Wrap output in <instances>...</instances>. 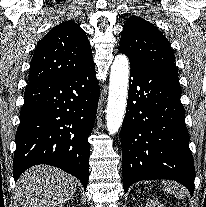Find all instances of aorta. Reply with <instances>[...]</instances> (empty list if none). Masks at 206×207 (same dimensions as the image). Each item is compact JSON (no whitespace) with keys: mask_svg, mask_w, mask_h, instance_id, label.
<instances>
[{"mask_svg":"<svg viewBox=\"0 0 206 207\" xmlns=\"http://www.w3.org/2000/svg\"><path fill=\"white\" fill-rule=\"evenodd\" d=\"M129 61L117 55L111 66L109 96L106 108V126L109 134H116L122 125L128 94Z\"/></svg>","mask_w":206,"mask_h":207,"instance_id":"obj_1","label":"aorta"}]
</instances>
